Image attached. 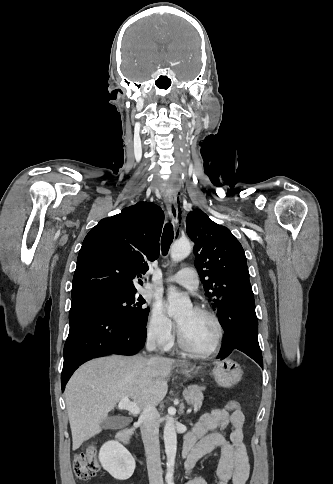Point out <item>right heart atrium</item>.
<instances>
[{
  "label": "right heart atrium",
  "mask_w": 333,
  "mask_h": 484,
  "mask_svg": "<svg viewBox=\"0 0 333 484\" xmlns=\"http://www.w3.org/2000/svg\"><path fill=\"white\" fill-rule=\"evenodd\" d=\"M146 331L149 341L156 346L164 350L172 347L175 339V324L159 305L152 308Z\"/></svg>",
  "instance_id": "1"
}]
</instances>
